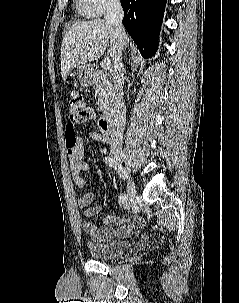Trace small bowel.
Instances as JSON below:
<instances>
[{"mask_svg":"<svg viewBox=\"0 0 239 303\" xmlns=\"http://www.w3.org/2000/svg\"><path fill=\"white\" fill-rule=\"evenodd\" d=\"M96 114L91 111L86 120H95ZM91 139L110 143V139L102 133L91 131L89 132ZM65 146L68 153L71 176L78 188L87 186L86 179L83 178L82 172L89 170V165L84 161L85 144L83 138L79 136L74 129L68 127L65 134ZM96 193L87 192L83 194L77 201L78 206L84 210V231L96 241H108L116 237L130 236L136 228L142 227L145 220L136 215L128 217H118L115 215H107L103 219L104 227L98 228L91 218L98 215L102 207L100 205L90 206L95 200Z\"/></svg>","mask_w":239,"mask_h":303,"instance_id":"1","label":"small bowel"}]
</instances>
